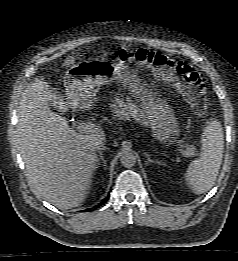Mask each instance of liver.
<instances>
[{
  "mask_svg": "<svg viewBox=\"0 0 238 261\" xmlns=\"http://www.w3.org/2000/svg\"><path fill=\"white\" fill-rule=\"evenodd\" d=\"M72 62L73 58L66 60ZM50 104L59 111L70 107L44 79L36 78L21 95L17 143L33 192L58 208L70 209L86 198L97 168L95 147L104 142L105 134L100 129L75 131Z\"/></svg>",
  "mask_w": 238,
  "mask_h": 261,
  "instance_id": "1",
  "label": "liver"
}]
</instances>
